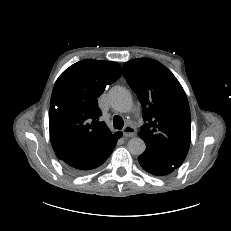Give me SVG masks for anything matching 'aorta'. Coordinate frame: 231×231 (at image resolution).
Masks as SVG:
<instances>
[{"label":"aorta","instance_id":"762f6f07","mask_svg":"<svg viewBox=\"0 0 231 231\" xmlns=\"http://www.w3.org/2000/svg\"><path fill=\"white\" fill-rule=\"evenodd\" d=\"M111 106L118 112L127 113L133 106L130 92L123 87H114L109 94ZM127 149L132 155L144 153L146 144L140 137H133L127 143Z\"/></svg>","mask_w":231,"mask_h":231}]
</instances>
